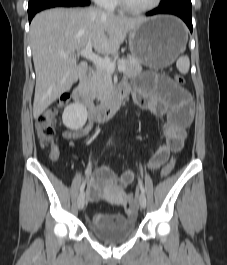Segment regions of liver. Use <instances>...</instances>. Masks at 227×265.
Returning a JSON list of instances; mask_svg holds the SVG:
<instances>
[{"label":"liver","mask_w":227,"mask_h":265,"mask_svg":"<svg viewBox=\"0 0 227 265\" xmlns=\"http://www.w3.org/2000/svg\"><path fill=\"white\" fill-rule=\"evenodd\" d=\"M145 20L92 7L56 8L37 14L30 26L36 73L34 118L85 75L87 62L77 64L76 52L91 43L97 53L116 54L127 33Z\"/></svg>","instance_id":"liver-1"}]
</instances>
